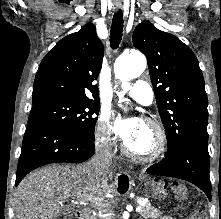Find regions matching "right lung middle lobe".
Instances as JSON below:
<instances>
[{"instance_id": "1", "label": "right lung middle lobe", "mask_w": 221, "mask_h": 219, "mask_svg": "<svg viewBox=\"0 0 221 219\" xmlns=\"http://www.w3.org/2000/svg\"><path fill=\"white\" fill-rule=\"evenodd\" d=\"M99 101L53 98L33 103L28 122L40 121L94 140Z\"/></svg>"}]
</instances>
